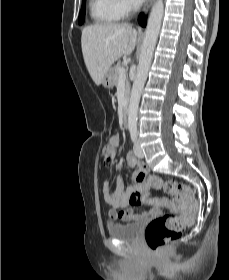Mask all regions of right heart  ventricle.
<instances>
[{"mask_svg":"<svg viewBox=\"0 0 229 280\" xmlns=\"http://www.w3.org/2000/svg\"><path fill=\"white\" fill-rule=\"evenodd\" d=\"M90 15L98 25H110L121 19L112 0H90Z\"/></svg>","mask_w":229,"mask_h":280,"instance_id":"right-heart-ventricle-1","label":"right heart ventricle"}]
</instances>
